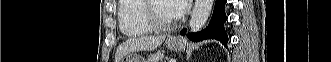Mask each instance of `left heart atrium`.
I'll return each mask as SVG.
<instances>
[{
    "label": "left heart atrium",
    "mask_w": 331,
    "mask_h": 62,
    "mask_svg": "<svg viewBox=\"0 0 331 62\" xmlns=\"http://www.w3.org/2000/svg\"><path fill=\"white\" fill-rule=\"evenodd\" d=\"M169 2L171 4L172 12L176 17L184 14L188 10L190 4V0H171Z\"/></svg>",
    "instance_id": "left-heart-atrium-1"
}]
</instances>
